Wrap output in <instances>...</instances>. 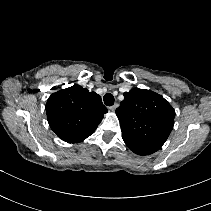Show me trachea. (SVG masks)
<instances>
[{"label": "trachea", "mask_w": 211, "mask_h": 211, "mask_svg": "<svg viewBox=\"0 0 211 211\" xmlns=\"http://www.w3.org/2000/svg\"><path fill=\"white\" fill-rule=\"evenodd\" d=\"M104 104L107 106H112L114 104V96L111 93H107L103 97Z\"/></svg>", "instance_id": "obj_1"}]
</instances>
